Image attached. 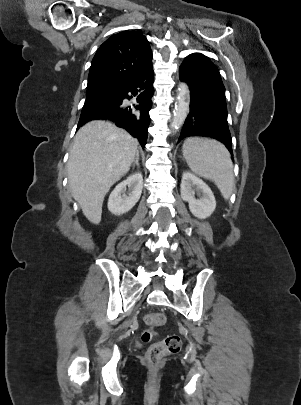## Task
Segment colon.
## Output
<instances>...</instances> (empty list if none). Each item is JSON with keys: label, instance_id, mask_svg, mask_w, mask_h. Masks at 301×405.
I'll use <instances>...</instances> for the list:
<instances>
[{"label": "colon", "instance_id": "obj_1", "mask_svg": "<svg viewBox=\"0 0 301 405\" xmlns=\"http://www.w3.org/2000/svg\"><path fill=\"white\" fill-rule=\"evenodd\" d=\"M144 322L148 326V329L141 334V340L144 343H149L152 339V330L163 325L165 317L160 313H152L144 317ZM181 345V338L175 334L168 335L163 340L153 343L146 352L148 365L157 368L166 356L178 353Z\"/></svg>", "mask_w": 301, "mask_h": 405}]
</instances>
